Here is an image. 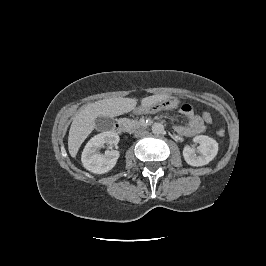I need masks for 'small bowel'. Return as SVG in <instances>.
Listing matches in <instances>:
<instances>
[{"instance_id": "c3829d8e", "label": "small bowel", "mask_w": 266, "mask_h": 266, "mask_svg": "<svg viewBox=\"0 0 266 266\" xmlns=\"http://www.w3.org/2000/svg\"><path fill=\"white\" fill-rule=\"evenodd\" d=\"M180 112L184 115L188 123L186 125L175 126V131L186 137H191L202 133L205 130L203 119L195 113L194 108L190 104H183L180 108Z\"/></svg>"}]
</instances>
